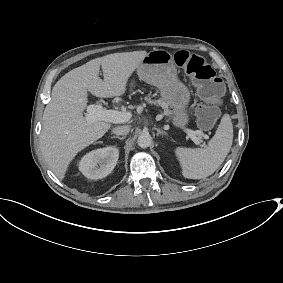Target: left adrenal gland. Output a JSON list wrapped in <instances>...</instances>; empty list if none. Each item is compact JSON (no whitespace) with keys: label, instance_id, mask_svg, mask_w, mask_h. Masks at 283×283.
I'll list each match as a JSON object with an SVG mask.
<instances>
[{"label":"left adrenal gland","instance_id":"obj_1","mask_svg":"<svg viewBox=\"0 0 283 283\" xmlns=\"http://www.w3.org/2000/svg\"><path fill=\"white\" fill-rule=\"evenodd\" d=\"M155 130L157 131V136H158L159 134L167 135V132L164 131V130H161V129H159V128H155Z\"/></svg>","mask_w":283,"mask_h":283}]
</instances>
